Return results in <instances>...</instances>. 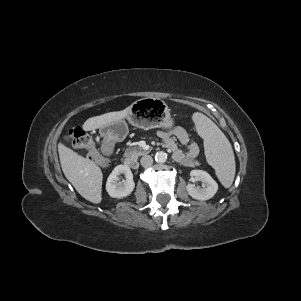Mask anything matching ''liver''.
<instances>
[{"instance_id":"obj_1","label":"liver","mask_w":301,"mask_h":301,"mask_svg":"<svg viewBox=\"0 0 301 301\" xmlns=\"http://www.w3.org/2000/svg\"><path fill=\"white\" fill-rule=\"evenodd\" d=\"M130 112V108L122 111L109 112L87 119L83 124L85 131L102 128L109 124L122 121ZM61 168L65 177L77 192L86 200L98 204L101 202L103 174L98 165L63 144L58 145Z\"/></svg>"}]
</instances>
